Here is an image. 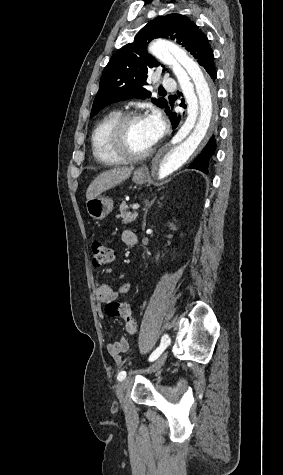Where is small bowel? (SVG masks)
I'll use <instances>...</instances> for the list:
<instances>
[{"instance_id": "c3829d8e", "label": "small bowel", "mask_w": 283, "mask_h": 475, "mask_svg": "<svg viewBox=\"0 0 283 475\" xmlns=\"http://www.w3.org/2000/svg\"><path fill=\"white\" fill-rule=\"evenodd\" d=\"M122 238L124 243L128 246H133L136 243V236L131 231H124ZM130 286V283L127 282L123 284L118 290H115L110 285L105 283L96 285L94 288V295L97 305L100 308L103 304L107 305L109 298H118L119 293H126L130 289ZM129 312H131L130 307ZM106 313L108 316L116 318V315L108 313V309H106ZM107 350L115 363L120 365L122 363V355L127 353L129 350V343L125 337L121 336L117 341L109 343Z\"/></svg>"}]
</instances>
